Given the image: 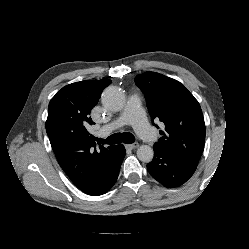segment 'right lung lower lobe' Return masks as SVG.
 <instances>
[{"label": "right lung lower lobe", "instance_id": "right-lung-lower-lobe-1", "mask_svg": "<svg viewBox=\"0 0 249 249\" xmlns=\"http://www.w3.org/2000/svg\"><path fill=\"white\" fill-rule=\"evenodd\" d=\"M113 152L115 154L114 165L109 171L94 184L92 189L87 194L92 196H98L106 193L114 185L119 175V170L122 161L125 156V148L123 145L113 146Z\"/></svg>", "mask_w": 249, "mask_h": 249}]
</instances>
